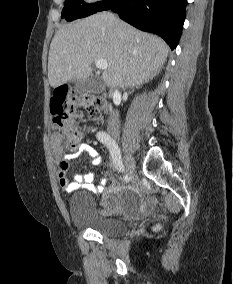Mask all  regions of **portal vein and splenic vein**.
<instances>
[{
  "mask_svg": "<svg viewBox=\"0 0 233 284\" xmlns=\"http://www.w3.org/2000/svg\"><path fill=\"white\" fill-rule=\"evenodd\" d=\"M94 63L98 69L106 70L108 67V63L104 59H95Z\"/></svg>",
  "mask_w": 233,
  "mask_h": 284,
  "instance_id": "obj_1",
  "label": "portal vein and splenic vein"
}]
</instances>
